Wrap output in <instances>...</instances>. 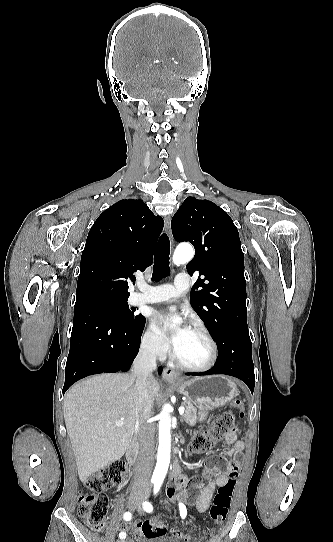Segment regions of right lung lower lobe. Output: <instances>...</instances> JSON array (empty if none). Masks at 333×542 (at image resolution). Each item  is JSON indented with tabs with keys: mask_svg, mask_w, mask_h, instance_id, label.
I'll return each mask as SVG.
<instances>
[{
	"mask_svg": "<svg viewBox=\"0 0 333 542\" xmlns=\"http://www.w3.org/2000/svg\"><path fill=\"white\" fill-rule=\"evenodd\" d=\"M94 256L104 259L105 253L98 250ZM144 325L145 320L138 325L120 321L93 301L76 302L63 393L86 376L128 371L138 354Z\"/></svg>",
	"mask_w": 333,
	"mask_h": 542,
	"instance_id": "98d812e1",
	"label": "right lung lower lobe"
}]
</instances>
